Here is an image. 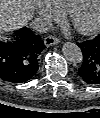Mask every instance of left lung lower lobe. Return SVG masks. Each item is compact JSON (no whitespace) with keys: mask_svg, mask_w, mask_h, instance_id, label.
Wrapping results in <instances>:
<instances>
[{"mask_svg":"<svg viewBox=\"0 0 100 118\" xmlns=\"http://www.w3.org/2000/svg\"><path fill=\"white\" fill-rule=\"evenodd\" d=\"M77 45L83 53V64L78 69L80 79L89 85H100V34Z\"/></svg>","mask_w":100,"mask_h":118,"instance_id":"left-lung-lower-lobe-1","label":"left lung lower lobe"}]
</instances>
